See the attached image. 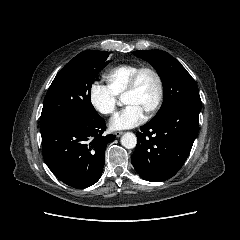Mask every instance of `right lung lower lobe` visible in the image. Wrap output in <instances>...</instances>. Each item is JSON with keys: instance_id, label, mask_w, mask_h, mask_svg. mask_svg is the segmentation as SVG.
Instances as JSON below:
<instances>
[{"instance_id": "right-lung-lower-lobe-1", "label": "right lung lower lobe", "mask_w": 240, "mask_h": 240, "mask_svg": "<svg viewBox=\"0 0 240 240\" xmlns=\"http://www.w3.org/2000/svg\"><path fill=\"white\" fill-rule=\"evenodd\" d=\"M100 116L77 118L58 116L41 123L42 151L49 169L74 188L95 184L103 171L105 149L114 138L103 134Z\"/></svg>"}]
</instances>
